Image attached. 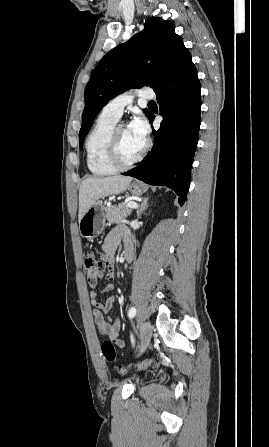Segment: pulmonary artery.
Segmentation results:
<instances>
[{"label": "pulmonary artery", "mask_w": 269, "mask_h": 447, "mask_svg": "<svg viewBox=\"0 0 269 447\" xmlns=\"http://www.w3.org/2000/svg\"><path fill=\"white\" fill-rule=\"evenodd\" d=\"M154 96L155 93L153 90H146L144 92L142 89H139L125 92L111 99L103 108V112L118 120L121 117L124 108L130 105L135 97L153 99Z\"/></svg>", "instance_id": "pulmonary-artery-1"}]
</instances>
